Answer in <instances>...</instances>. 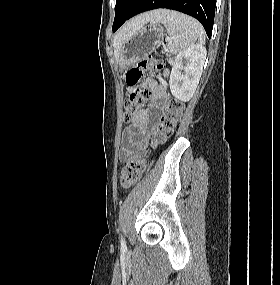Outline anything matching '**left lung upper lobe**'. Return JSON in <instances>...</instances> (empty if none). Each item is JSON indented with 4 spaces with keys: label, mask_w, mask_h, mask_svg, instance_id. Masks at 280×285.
Wrapping results in <instances>:
<instances>
[{
    "label": "left lung upper lobe",
    "mask_w": 280,
    "mask_h": 285,
    "mask_svg": "<svg viewBox=\"0 0 280 285\" xmlns=\"http://www.w3.org/2000/svg\"><path fill=\"white\" fill-rule=\"evenodd\" d=\"M139 0H117L115 6V19L112 26L113 31L117 30L126 20Z\"/></svg>",
    "instance_id": "left-lung-upper-lobe-1"
}]
</instances>
